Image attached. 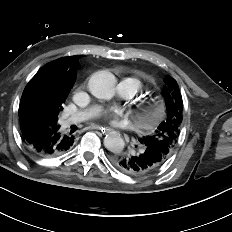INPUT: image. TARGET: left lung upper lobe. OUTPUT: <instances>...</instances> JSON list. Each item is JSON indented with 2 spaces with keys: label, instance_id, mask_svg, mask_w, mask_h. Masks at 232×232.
<instances>
[{
  "label": "left lung upper lobe",
  "instance_id": "obj_1",
  "mask_svg": "<svg viewBox=\"0 0 232 232\" xmlns=\"http://www.w3.org/2000/svg\"><path fill=\"white\" fill-rule=\"evenodd\" d=\"M162 95L165 100L166 118L152 135L139 139L140 146L160 151L166 158L175 147L183 120V100L179 86L173 78L167 77Z\"/></svg>",
  "mask_w": 232,
  "mask_h": 232
}]
</instances>
